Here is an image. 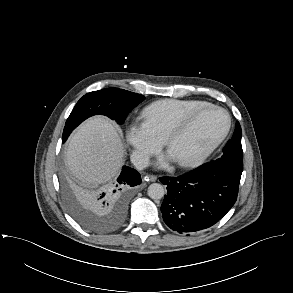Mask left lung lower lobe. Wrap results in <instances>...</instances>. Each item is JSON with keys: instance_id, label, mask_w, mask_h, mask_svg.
Masks as SVG:
<instances>
[{"instance_id": "obj_1", "label": "left lung lower lobe", "mask_w": 293, "mask_h": 293, "mask_svg": "<svg viewBox=\"0 0 293 293\" xmlns=\"http://www.w3.org/2000/svg\"><path fill=\"white\" fill-rule=\"evenodd\" d=\"M241 174L210 161L179 177H161L167 185L161 206L164 222L187 235L211 227L236 202Z\"/></svg>"}]
</instances>
